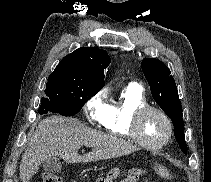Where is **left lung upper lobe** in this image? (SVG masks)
I'll list each match as a JSON object with an SVG mask.
<instances>
[{"mask_svg": "<svg viewBox=\"0 0 211 182\" xmlns=\"http://www.w3.org/2000/svg\"><path fill=\"white\" fill-rule=\"evenodd\" d=\"M141 67L154 100L172 120L175 138L181 150L187 154L181 102L169 68L160 60L153 58L143 59Z\"/></svg>", "mask_w": 211, "mask_h": 182, "instance_id": "obj_1", "label": "left lung upper lobe"}]
</instances>
